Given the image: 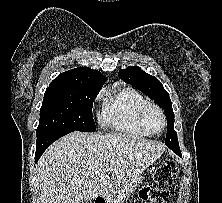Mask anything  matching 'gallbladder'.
<instances>
[{"instance_id": "bac80fb5", "label": "gallbladder", "mask_w": 222, "mask_h": 203, "mask_svg": "<svg viewBox=\"0 0 222 203\" xmlns=\"http://www.w3.org/2000/svg\"><path fill=\"white\" fill-rule=\"evenodd\" d=\"M80 203H91L90 200H82Z\"/></svg>"}]
</instances>
